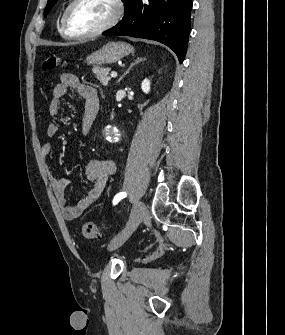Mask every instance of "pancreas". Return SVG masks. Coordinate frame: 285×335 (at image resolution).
Here are the masks:
<instances>
[{
  "label": "pancreas",
  "mask_w": 285,
  "mask_h": 335,
  "mask_svg": "<svg viewBox=\"0 0 285 335\" xmlns=\"http://www.w3.org/2000/svg\"><path fill=\"white\" fill-rule=\"evenodd\" d=\"M110 70L111 68H99V66H94L93 72L97 80L101 82L102 86H108L111 80V78L108 76V72H110Z\"/></svg>",
  "instance_id": "1"
}]
</instances>
